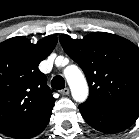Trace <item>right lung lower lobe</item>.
<instances>
[{
    "label": "right lung lower lobe",
    "mask_w": 139,
    "mask_h": 139,
    "mask_svg": "<svg viewBox=\"0 0 139 139\" xmlns=\"http://www.w3.org/2000/svg\"><path fill=\"white\" fill-rule=\"evenodd\" d=\"M51 114H52V110L49 111L47 114H45L42 118H40L35 123L27 126L26 128L18 132L13 133L10 136L16 139H29L38 135L44 130V128L49 123Z\"/></svg>",
    "instance_id": "right-lung-lower-lobe-1"
}]
</instances>
